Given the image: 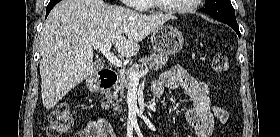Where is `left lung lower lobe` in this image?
I'll return each mask as SVG.
<instances>
[{
  "label": "left lung lower lobe",
  "instance_id": "obj_1",
  "mask_svg": "<svg viewBox=\"0 0 280 137\" xmlns=\"http://www.w3.org/2000/svg\"><path fill=\"white\" fill-rule=\"evenodd\" d=\"M226 24H228L229 26H231V27L236 31V33L238 34V36L240 37V31H239L238 24H236V23H226Z\"/></svg>",
  "mask_w": 280,
  "mask_h": 137
}]
</instances>
